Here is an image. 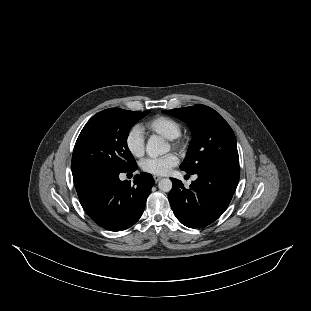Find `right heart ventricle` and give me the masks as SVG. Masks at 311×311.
Returning a JSON list of instances; mask_svg holds the SVG:
<instances>
[{
	"mask_svg": "<svg viewBox=\"0 0 311 311\" xmlns=\"http://www.w3.org/2000/svg\"><path fill=\"white\" fill-rule=\"evenodd\" d=\"M146 127L149 131L168 140L178 138L183 133L182 123L166 115L154 117L146 123Z\"/></svg>",
	"mask_w": 311,
	"mask_h": 311,
	"instance_id": "right-heart-ventricle-1",
	"label": "right heart ventricle"
}]
</instances>
